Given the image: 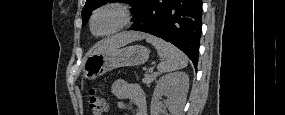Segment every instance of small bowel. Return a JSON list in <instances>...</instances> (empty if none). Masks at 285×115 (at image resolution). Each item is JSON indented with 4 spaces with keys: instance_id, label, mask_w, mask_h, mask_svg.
Instances as JSON below:
<instances>
[{
    "instance_id": "small-bowel-1",
    "label": "small bowel",
    "mask_w": 285,
    "mask_h": 115,
    "mask_svg": "<svg viewBox=\"0 0 285 115\" xmlns=\"http://www.w3.org/2000/svg\"><path fill=\"white\" fill-rule=\"evenodd\" d=\"M112 93L119 99L135 107V115H147V100L145 93L137 84L127 82L124 79H116L112 83ZM120 104L125 107V103Z\"/></svg>"
}]
</instances>
